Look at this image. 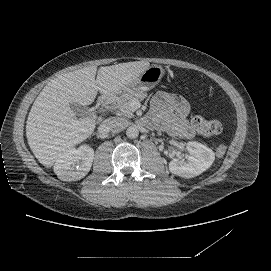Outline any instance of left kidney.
<instances>
[{
	"label": "left kidney",
	"instance_id": "obj_1",
	"mask_svg": "<svg viewBox=\"0 0 271 271\" xmlns=\"http://www.w3.org/2000/svg\"><path fill=\"white\" fill-rule=\"evenodd\" d=\"M186 149L189 152L187 161L173 159L169 163L171 173L184 178H192L207 170L215 160L214 152L198 142H188Z\"/></svg>",
	"mask_w": 271,
	"mask_h": 271
}]
</instances>
